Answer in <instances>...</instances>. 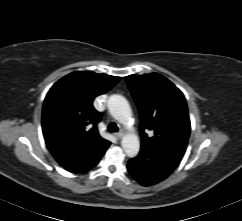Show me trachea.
Returning a JSON list of instances; mask_svg holds the SVG:
<instances>
[{
	"label": "trachea",
	"mask_w": 242,
	"mask_h": 221,
	"mask_svg": "<svg viewBox=\"0 0 242 221\" xmlns=\"http://www.w3.org/2000/svg\"><path fill=\"white\" fill-rule=\"evenodd\" d=\"M107 129H108L109 132H117L118 131V126L116 125V123L111 122L108 125V128Z\"/></svg>",
	"instance_id": "obj_1"
}]
</instances>
